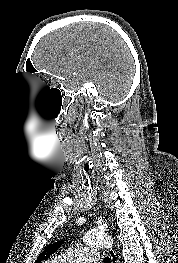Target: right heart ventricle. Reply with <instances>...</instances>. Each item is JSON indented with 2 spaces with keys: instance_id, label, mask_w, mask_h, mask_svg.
<instances>
[{
  "instance_id": "e07e8e85",
  "label": "right heart ventricle",
  "mask_w": 178,
  "mask_h": 263,
  "mask_svg": "<svg viewBox=\"0 0 178 263\" xmlns=\"http://www.w3.org/2000/svg\"><path fill=\"white\" fill-rule=\"evenodd\" d=\"M48 263H59V262L56 259H52Z\"/></svg>"
}]
</instances>
